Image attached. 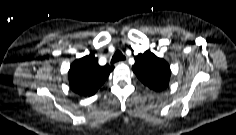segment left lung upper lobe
Instances as JSON below:
<instances>
[{"label":"left lung upper lobe","instance_id":"obj_1","mask_svg":"<svg viewBox=\"0 0 236 135\" xmlns=\"http://www.w3.org/2000/svg\"><path fill=\"white\" fill-rule=\"evenodd\" d=\"M134 58L135 64L132 69L142 83L155 91H162L168 87L171 71L164 59L149 50Z\"/></svg>","mask_w":236,"mask_h":135}]
</instances>
